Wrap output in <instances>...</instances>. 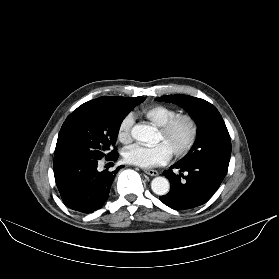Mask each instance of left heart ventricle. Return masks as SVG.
Masks as SVG:
<instances>
[{
    "instance_id": "1",
    "label": "left heart ventricle",
    "mask_w": 279,
    "mask_h": 279,
    "mask_svg": "<svg viewBox=\"0 0 279 279\" xmlns=\"http://www.w3.org/2000/svg\"><path fill=\"white\" fill-rule=\"evenodd\" d=\"M189 135L190 125L188 121L180 120L167 136H163L159 132L157 141L163 142L172 153L184 147L189 138Z\"/></svg>"
}]
</instances>
